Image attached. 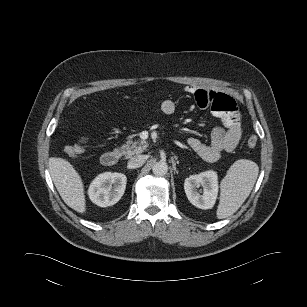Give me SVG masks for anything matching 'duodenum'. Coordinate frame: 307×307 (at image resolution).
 <instances>
[{
	"mask_svg": "<svg viewBox=\"0 0 307 307\" xmlns=\"http://www.w3.org/2000/svg\"><path fill=\"white\" fill-rule=\"evenodd\" d=\"M120 154L116 150L106 151L101 156V163L106 167H112L119 161Z\"/></svg>",
	"mask_w": 307,
	"mask_h": 307,
	"instance_id": "1",
	"label": "duodenum"
}]
</instances>
